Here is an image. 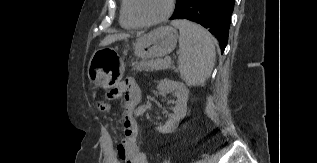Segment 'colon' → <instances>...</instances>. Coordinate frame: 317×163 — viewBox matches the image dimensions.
Segmentation results:
<instances>
[{"label": "colon", "mask_w": 317, "mask_h": 163, "mask_svg": "<svg viewBox=\"0 0 317 163\" xmlns=\"http://www.w3.org/2000/svg\"><path fill=\"white\" fill-rule=\"evenodd\" d=\"M98 107L101 109V110H107L108 109V104L105 102V101H99L98 102Z\"/></svg>", "instance_id": "5ec220e1"}]
</instances>
